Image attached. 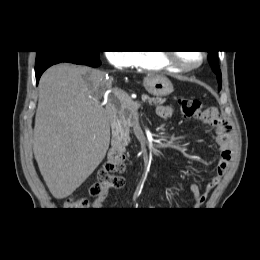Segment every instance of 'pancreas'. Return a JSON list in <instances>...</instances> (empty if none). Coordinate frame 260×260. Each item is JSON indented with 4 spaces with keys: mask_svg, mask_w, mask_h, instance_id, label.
Wrapping results in <instances>:
<instances>
[{
    "mask_svg": "<svg viewBox=\"0 0 260 260\" xmlns=\"http://www.w3.org/2000/svg\"><path fill=\"white\" fill-rule=\"evenodd\" d=\"M142 100L147 101L150 105H162L166 102V99L162 98H151L146 94L142 95ZM132 115H133V109H131L129 106L125 105L120 101L119 103V109L117 112V115L115 117L116 123L119 127V133H120V141L123 145H128L131 141L130 138V127H132Z\"/></svg>",
    "mask_w": 260,
    "mask_h": 260,
    "instance_id": "obj_1",
    "label": "pancreas"
}]
</instances>
